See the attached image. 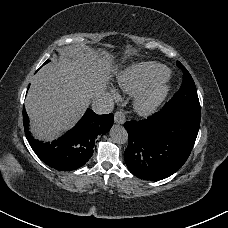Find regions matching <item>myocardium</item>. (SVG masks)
<instances>
[{
    "label": "myocardium",
    "mask_w": 228,
    "mask_h": 228,
    "mask_svg": "<svg viewBox=\"0 0 228 228\" xmlns=\"http://www.w3.org/2000/svg\"><path fill=\"white\" fill-rule=\"evenodd\" d=\"M166 91L167 88L164 85H157L146 90L136 98V110L143 115L150 114L164 98Z\"/></svg>",
    "instance_id": "1"
}]
</instances>
